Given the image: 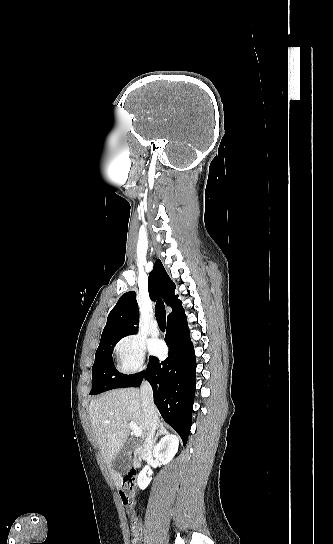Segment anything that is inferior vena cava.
<instances>
[{"label": "inferior vena cava", "mask_w": 333, "mask_h": 544, "mask_svg": "<svg viewBox=\"0 0 333 544\" xmlns=\"http://www.w3.org/2000/svg\"><path fill=\"white\" fill-rule=\"evenodd\" d=\"M141 397L145 413L148 435L143 444V455L147 457L151 454L154 444V435L158 422V411L153 401V391L150 384L144 381L141 385Z\"/></svg>", "instance_id": "obj_1"}]
</instances>
